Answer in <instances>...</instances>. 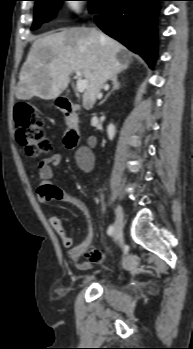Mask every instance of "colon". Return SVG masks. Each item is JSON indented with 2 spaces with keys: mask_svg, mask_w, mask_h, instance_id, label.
<instances>
[{
  "mask_svg": "<svg viewBox=\"0 0 193 349\" xmlns=\"http://www.w3.org/2000/svg\"><path fill=\"white\" fill-rule=\"evenodd\" d=\"M14 120L16 139L29 155L38 156L50 150L51 142L45 136L43 120L33 106L16 105Z\"/></svg>",
  "mask_w": 193,
  "mask_h": 349,
  "instance_id": "obj_1",
  "label": "colon"
}]
</instances>
